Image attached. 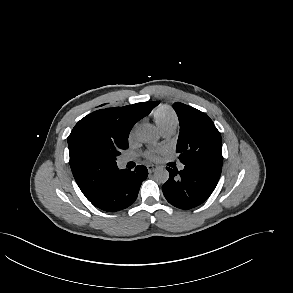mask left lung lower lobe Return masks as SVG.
<instances>
[{"label": "left lung lower lobe", "mask_w": 293, "mask_h": 293, "mask_svg": "<svg viewBox=\"0 0 293 293\" xmlns=\"http://www.w3.org/2000/svg\"><path fill=\"white\" fill-rule=\"evenodd\" d=\"M182 171L171 169L162 190L167 201L180 209L202 204L215 189L221 170L209 164H184Z\"/></svg>", "instance_id": "1"}]
</instances>
